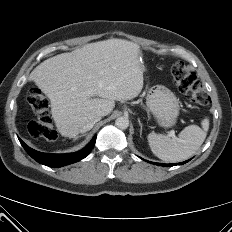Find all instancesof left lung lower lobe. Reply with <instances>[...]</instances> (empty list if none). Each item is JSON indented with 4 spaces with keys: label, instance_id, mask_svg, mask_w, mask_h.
<instances>
[{
    "label": "left lung lower lobe",
    "instance_id": "obj_1",
    "mask_svg": "<svg viewBox=\"0 0 232 232\" xmlns=\"http://www.w3.org/2000/svg\"><path fill=\"white\" fill-rule=\"evenodd\" d=\"M187 161L185 162H182V163H177V164H161V163H153V162H150V163H153V164H156V165H160V166H175V165H181V164H184L186 163Z\"/></svg>",
    "mask_w": 232,
    "mask_h": 232
}]
</instances>
